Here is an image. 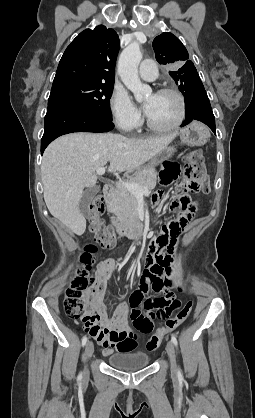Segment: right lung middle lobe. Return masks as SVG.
Listing matches in <instances>:
<instances>
[{
	"mask_svg": "<svg viewBox=\"0 0 255 418\" xmlns=\"http://www.w3.org/2000/svg\"><path fill=\"white\" fill-rule=\"evenodd\" d=\"M114 83L68 81L52 85L48 107L71 106L112 121L109 99Z\"/></svg>",
	"mask_w": 255,
	"mask_h": 418,
	"instance_id": "dd1d6c3e",
	"label": "right lung middle lobe"
}]
</instances>
